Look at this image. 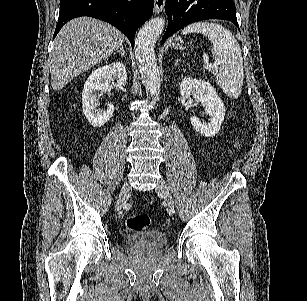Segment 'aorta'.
Returning <instances> with one entry per match:
<instances>
[{"label": "aorta", "instance_id": "aorta-1", "mask_svg": "<svg viewBox=\"0 0 307 301\" xmlns=\"http://www.w3.org/2000/svg\"><path fill=\"white\" fill-rule=\"evenodd\" d=\"M165 20L161 16L151 18L140 28L134 42L135 58L145 86L147 96L154 102L160 100L161 80L155 56V42L164 30Z\"/></svg>", "mask_w": 307, "mask_h": 301}]
</instances>
